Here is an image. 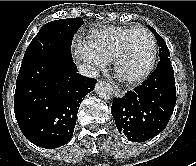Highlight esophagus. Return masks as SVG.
I'll return each mask as SVG.
<instances>
[{"mask_svg":"<svg viewBox=\"0 0 196 166\" xmlns=\"http://www.w3.org/2000/svg\"><path fill=\"white\" fill-rule=\"evenodd\" d=\"M114 93H115V95H116L117 97H123L124 94H125V91H124L123 89H121V88L116 87V88L114 89Z\"/></svg>","mask_w":196,"mask_h":166,"instance_id":"1","label":"esophagus"}]
</instances>
